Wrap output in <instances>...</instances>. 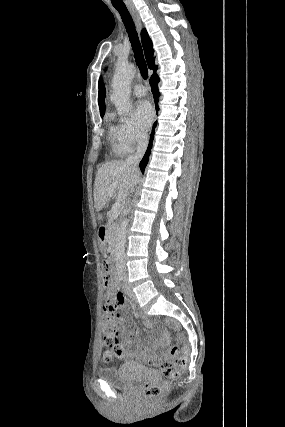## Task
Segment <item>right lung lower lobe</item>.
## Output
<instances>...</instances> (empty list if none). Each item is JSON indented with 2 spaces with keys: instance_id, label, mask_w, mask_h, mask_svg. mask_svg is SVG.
<instances>
[{
  "instance_id": "98d812e1",
  "label": "right lung lower lobe",
  "mask_w": 285,
  "mask_h": 427,
  "mask_svg": "<svg viewBox=\"0 0 285 427\" xmlns=\"http://www.w3.org/2000/svg\"><path fill=\"white\" fill-rule=\"evenodd\" d=\"M158 82H159V77L157 75L156 76H151V78H150V85H151L152 93H153V96H154L156 111H158V109H159L158 108L159 92H158V86H157ZM156 123L157 122H155L153 124V130H152V133L150 135V141H149V145H148L147 151H146L145 156L143 157V159L141 160L140 165H139L142 173H144L145 167H146V165L148 163V159H149V155H150V150L152 148V141H153V137H154V128L156 126Z\"/></svg>"
}]
</instances>
